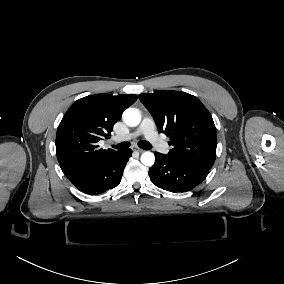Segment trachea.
I'll use <instances>...</instances> for the list:
<instances>
[{
    "mask_svg": "<svg viewBox=\"0 0 284 284\" xmlns=\"http://www.w3.org/2000/svg\"><path fill=\"white\" fill-rule=\"evenodd\" d=\"M130 146V143L129 142H122V143H119L117 145H112L113 148H116V149H126ZM138 146L141 148V149H144V150H149L152 148L151 144L148 142V141H145V140H140L138 142Z\"/></svg>",
    "mask_w": 284,
    "mask_h": 284,
    "instance_id": "obj_1",
    "label": "trachea"
}]
</instances>
